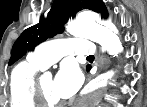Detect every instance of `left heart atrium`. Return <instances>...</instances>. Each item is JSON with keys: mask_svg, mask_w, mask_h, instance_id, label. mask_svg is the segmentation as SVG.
<instances>
[{"mask_svg": "<svg viewBox=\"0 0 147 107\" xmlns=\"http://www.w3.org/2000/svg\"><path fill=\"white\" fill-rule=\"evenodd\" d=\"M83 75L75 65L62 66L54 79V91L62 99L72 97L80 88Z\"/></svg>", "mask_w": 147, "mask_h": 107, "instance_id": "39dd6f15", "label": "left heart atrium"}]
</instances>
